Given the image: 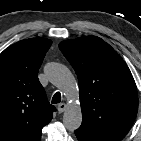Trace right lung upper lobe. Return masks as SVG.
Wrapping results in <instances>:
<instances>
[{
  "label": "right lung upper lobe",
  "mask_w": 141,
  "mask_h": 141,
  "mask_svg": "<svg viewBox=\"0 0 141 141\" xmlns=\"http://www.w3.org/2000/svg\"><path fill=\"white\" fill-rule=\"evenodd\" d=\"M51 40L19 41L0 54V141H40L55 107L37 74Z\"/></svg>",
  "instance_id": "right-lung-upper-lobe-1"
}]
</instances>
